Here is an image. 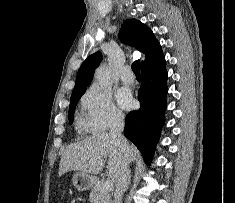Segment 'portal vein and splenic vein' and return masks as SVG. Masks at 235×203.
<instances>
[{
    "instance_id": "18ae733b",
    "label": "portal vein and splenic vein",
    "mask_w": 235,
    "mask_h": 203,
    "mask_svg": "<svg viewBox=\"0 0 235 203\" xmlns=\"http://www.w3.org/2000/svg\"><path fill=\"white\" fill-rule=\"evenodd\" d=\"M113 188V182L111 180H106L104 183H103V186H102V191L103 192H110Z\"/></svg>"
}]
</instances>
